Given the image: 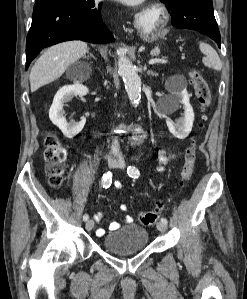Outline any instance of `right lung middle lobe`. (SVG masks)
<instances>
[{
	"instance_id": "obj_1",
	"label": "right lung middle lobe",
	"mask_w": 247,
	"mask_h": 299,
	"mask_svg": "<svg viewBox=\"0 0 247 299\" xmlns=\"http://www.w3.org/2000/svg\"><path fill=\"white\" fill-rule=\"evenodd\" d=\"M52 1H54V0H36L34 10L52 2Z\"/></svg>"
}]
</instances>
